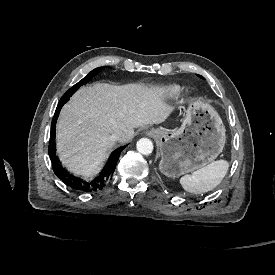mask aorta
<instances>
[{"label": "aorta", "mask_w": 275, "mask_h": 275, "mask_svg": "<svg viewBox=\"0 0 275 275\" xmlns=\"http://www.w3.org/2000/svg\"><path fill=\"white\" fill-rule=\"evenodd\" d=\"M137 150L139 153L144 155H149L153 151V143L148 138H141L137 141L136 144Z\"/></svg>", "instance_id": "obj_1"}]
</instances>
